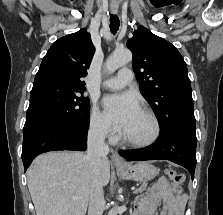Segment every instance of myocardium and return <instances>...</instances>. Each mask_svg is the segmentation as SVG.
<instances>
[{"label":"myocardium","mask_w":223,"mask_h":215,"mask_svg":"<svg viewBox=\"0 0 223 215\" xmlns=\"http://www.w3.org/2000/svg\"><path fill=\"white\" fill-rule=\"evenodd\" d=\"M140 111L149 118V120L152 124V133H151L150 137L143 141H137V140L124 138L122 135V132H121V133H119L118 137L116 138V142L118 144L123 145L125 147L135 148V149H145V148H149V147L153 146L156 143V141L160 135L159 121L151 109H149L147 107H142V108H140Z\"/></svg>","instance_id":"1"}]
</instances>
